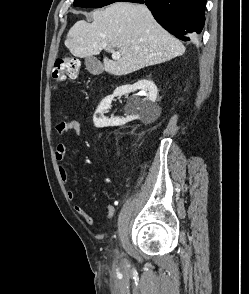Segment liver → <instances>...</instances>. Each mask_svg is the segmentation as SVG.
<instances>
[{
	"label": "liver",
	"mask_w": 249,
	"mask_h": 294,
	"mask_svg": "<svg viewBox=\"0 0 249 294\" xmlns=\"http://www.w3.org/2000/svg\"><path fill=\"white\" fill-rule=\"evenodd\" d=\"M93 22H76L65 46L79 58L117 48L121 58L104 57L106 72L121 76L181 56L184 45L163 29L142 4L116 2L91 14Z\"/></svg>",
	"instance_id": "1"
}]
</instances>
